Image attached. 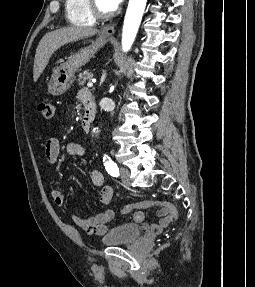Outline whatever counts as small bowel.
I'll list each match as a JSON object with an SVG mask.
<instances>
[{"label": "small bowel", "mask_w": 255, "mask_h": 287, "mask_svg": "<svg viewBox=\"0 0 255 287\" xmlns=\"http://www.w3.org/2000/svg\"><path fill=\"white\" fill-rule=\"evenodd\" d=\"M66 152L70 156L84 158L86 157V149L83 145L77 142H69L66 147ZM60 153V143L56 137H50L45 144V159L50 164L56 163ZM90 179L95 187H100L101 190L98 198L101 204H109L113 197V189L110 186H104V176L99 169L93 168L90 172ZM53 202L56 206L64 205L65 197L59 189H54L51 192ZM116 212L111 208H106L96 215L88 218L74 216L72 221L75 225L81 227L90 234L102 235L108 230V224L115 218ZM158 221L152 224L146 223L144 214L140 211L133 212L130 215V221L142 225L145 231L155 234L161 233L170 223L171 218L165 209L157 211Z\"/></svg>", "instance_id": "small-bowel-1"}]
</instances>
